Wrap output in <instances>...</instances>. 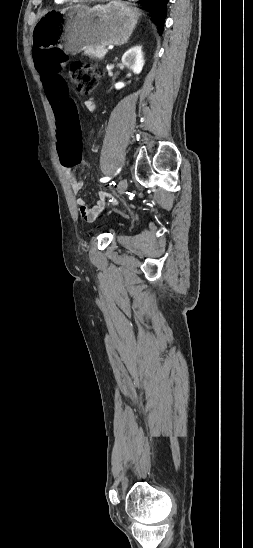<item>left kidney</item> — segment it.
<instances>
[{"mask_svg": "<svg viewBox=\"0 0 253 548\" xmlns=\"http://www.w3.org/2000/svg\"><path fill=\"white\" fill-rule=\"evenodd\" d=\"M122 64L129 70L133 71L134 74L141 73L144 66L142 46H135L126 51L122 56ZM124 86V82L115 83V88L118 90Z\"/></svg>", "mask_w": 253, "mask_h": 548, "instance_id": "5707ae66", "label": "left kidney"}]
</instances>
